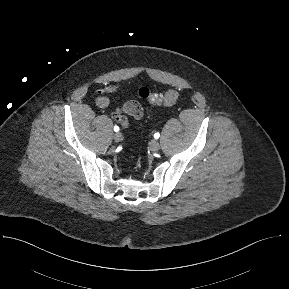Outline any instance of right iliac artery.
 <instances>
[{"label": "right iliac artery", "mask_w": 289, "mask_h": 289, "mask_svg": "<svg viewBox=\"0 0 289 289\" xmlns=\"http://www.w3.org/2000/svg\"><path fill=\"white\" fill-rule=\"evenodd\" d=\"M114 131L118 132L119 131V127L117 125L114 126Z\"/></svg>", "instance_id": "82829eb1"}]
</instances>
